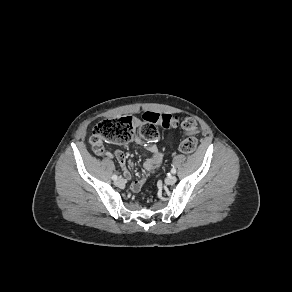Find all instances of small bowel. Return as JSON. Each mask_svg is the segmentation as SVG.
<instances>
[{
	"instance_id": "small-bowel-1",
	"label": "small bowel",
	"mask_w": 292,
	"mask_h": 292,
	"mask_svg": "<svg viewBox=\"0 0 292 292\" xmlns=\"http://www.w3.org/2000/svg\"><path fill=\"white\" fill-rule=\"evenodd\" d=\"M132 119L134 121L135 126L139 127L140 120L135 117H133ZM134 141L136 144L146 149L150 154L149 158L143 164L144 170L147 172H150L157 169L163 161V154L158 148V146L152 141L144 140L140 136H135ZM104 155H108V153L105 150L101 154V156H104ZM114 157L116 158L117 162L122 168L124 177L127 179H130L132 177V174L129 170V167L133 165L132 161H129L126 155L124 154V152L121 150H116L114 153ZM144 182L145 180L143 178L134 180L130 185V189L133 192H139L141 188L143 187Z\"/></svg>"
}]
</instances>
